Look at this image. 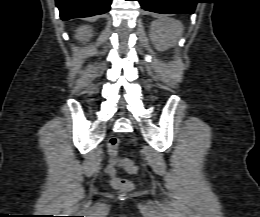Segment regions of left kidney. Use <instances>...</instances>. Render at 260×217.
<instances>
[{
  "mask_svg": "<svg viewBox=\"0 0 260 217\" xmlns=\"http://www.w3.org/2000/svg\"><path fill=\"white\" fill-rule=\"evenodd\" d=\"M164 31H169V38H171V39L176 38L177 34H176L175 29L172 26L165 24L163 22H160V21L152 22L151 29H150V36H151V40H152L154 46L159 51H163L164 49H166L167 47L170 46L169 42H167L166 40L163 39ZM173 43H175L174 40H173Z\"/></svg>",
  "mask_w": 260,
  "mask_h": 217,
  "instance_id": "left-kidney-1",
  "label": "left kidney"
}]
</instances>
